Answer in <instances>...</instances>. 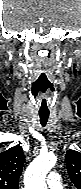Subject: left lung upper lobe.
<instances>
[{"mask_svg":"<svg viewBox=\"0 0 81 189\" xmlns=\"http://www.w3.org/2000/svg\"><path fill=\"white\" fill-rule=\"evenodd\" d=\"M65 160L71 181L77 189H81V153L68 150Z\"/></svg>","mask_w":81,"mask_h":189,"instance_id":"5c2ea615","label":"left lung upper lobe"}]
</instances>
